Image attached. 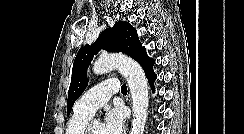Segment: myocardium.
Masks as SVG:
<instances>
[{
    "label": "myocardium",
    "mask_w": 244,
    "mask_h": 134,
    "mask_svg": "<svg viewBox=\"0 0 244 134\" xmlns=\"http://www.w3.org/2000/svg\"><path fill=\"white\" fill-rule=\"evenodd\" d=\"M92 124L93 122H89L85 127L84 134H92Z\"/></svg>",
    "instance_id": "f54148a6"
}]
</instances>
